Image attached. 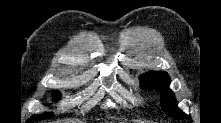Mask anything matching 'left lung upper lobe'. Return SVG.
Listing matches in <instances>:
<instances>
[{"mask_svg":"<svg viewBox=\"0 0 221 123\" xmlns=\"http://www.w3.org/2000/svg\"><path fill=\"white\" fill-rule=\"evenodd\" d=\"M141 88L155 89L161 92V107L163 111L171 117L188 118L178 107L175 102V94L168 88L170 78L166 72L150 71L140 76Z\"/></svg>","mask_w":221,"mask_h":123,"instance_id":"1","label":"left lung upper lobe"}]
</instances>
